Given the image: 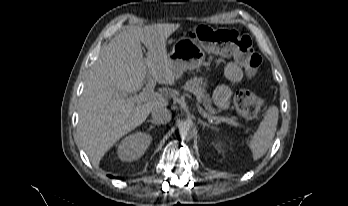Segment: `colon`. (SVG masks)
<instances>
[{"label":"colon","mask_w":348,"mask_h":206,"mask_svg":"<svg viewBox=\"0 0 348 206\" xmlns=\"http://www.w3.org/2000/svg\"><path fill=\"white\" fill-rule=\"evenodd\" d=\"M188 34L191 38L211 47L215 53L232 56L245 67L250 76L257 74L262 60L254 52L249 36L236 30L205 25L193 28ZM234 105L242 117L256 119L263 110L264 100L249 90H239L234 96Z\"/></svg>","instance_id":"1"}]
</instances>
